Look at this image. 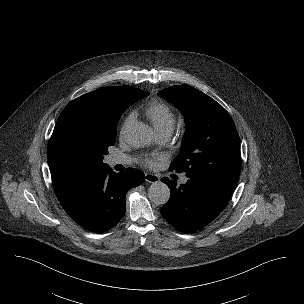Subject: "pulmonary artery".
Wrapping results in <instances>:
<instances>
[{"mask_svg":"<svg viewBox=\"0 0 304 304\" xmlns=\"http://www.w3.org/2000/svg\"><path fill=\"white\" fill-rule=\"evenodd\" d=\"M170 136H171V131H169V130L156 131V139L159 143H164V142L168 141ZM109 161H110L111 165L130 163V159L126 155H113L110 157ZM187 181H188V178L186 176H183L181 178L182 184H185Z\"/></svg>","mask_w":304,"mask_h":304,"instance_id":"e3ab8cb5","label":"pulmonary artery"}]
</instances>
